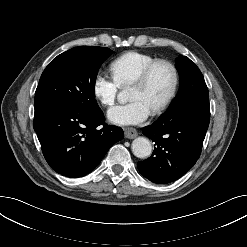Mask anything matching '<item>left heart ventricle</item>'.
Masks as SVG:
<instances>
[{
  "label": "left heart ventricle",
  "mask_w": 247,
  "mask_h": 247,
  "mask_svg": "<svg viewBox=\"0 0 247 247\" xmlns=\"http://www.w3.org/2000/svg\"><path fill=\"white\" fill-rule=\"evenodd\" d=\"M171 82L172 74L169 68L165 66L157 67L143 87L128 90V97L140 100L153 109L164 99L169 91Z\"/></svg>",
  "instance_id": "b2bd125f"
}]
</instances>
